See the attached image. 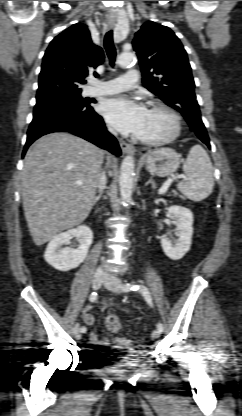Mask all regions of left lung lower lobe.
<instances>
[{"label":"left lung lower lobe","instance_id":"obj_1","mask_svg":"<svg viewBox=\"0 0 242 416\" xmlns=\"http://www.w3.org/2000/svg\"><path fill=\"white\" fill-rule=\"evenodd\" d=\"M200 140L202 142H204L210 148V143H209V138L208 137H202V138H200Z\"/></svg>","mask_w":242,"mask_h":416}]
</instances>
